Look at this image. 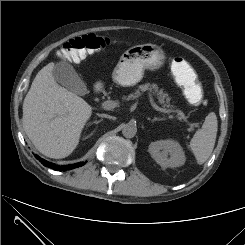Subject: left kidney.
Wrapping results in <instances>:
<instances>
[{
    "label": "left kidney",
    "mask_w": 245,
    "mask_h": 245,
    "mask_svg": "<svg viewBox=\"0 0 245 245\" xmlns=\"http://www.w3.org/2000/svg\"><path fill=\"white\" fill-rule=\"evenodd\" d=\"M148 151L157 164L163 168L182 166L186 160L179 142L170 139L152 142Z\"/></svg>",
    "instance_id": "obj_1"
}]
</instances>
